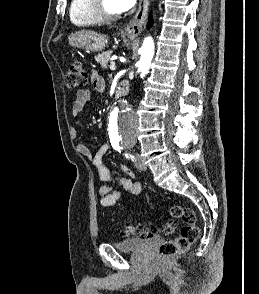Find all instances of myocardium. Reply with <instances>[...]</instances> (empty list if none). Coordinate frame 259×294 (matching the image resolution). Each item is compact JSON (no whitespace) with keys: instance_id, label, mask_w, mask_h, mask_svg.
Returning <instances> with one entry per match:
<instances>
[{"instance_id":"f54148a6","label":"myocardium","mask_w":259,"mask_h":294,"mask_svg":"<svg viewBox=\"0 0 259 294\" xmlns=\"http://www.w3.org/2000/svg\"><path fill=\"white\" fill-rule=\"evenodd\" d=\"M91 11L101 22H111L120 18L121 12L111 13L103 5V0H90Z\"/></svg>"}]
</instances>
